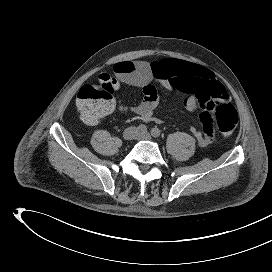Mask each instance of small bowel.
Wrapping results in <instances>:
<instances>
[{"label":"small bowel","instance_id":"c3829d8e","mask_svg":"<svg viewBox=\"0 0 272 272\" xmlns=\"http://www.w3.org/2000/svg\"><path fill=\"white\" fill-rule=\"evenodd\" d=\"M118 81L140 88L143 99L137 105L113 103L114 111L132 113L146 122H159L154 111L159 104V95L153 82H159L169 91L182 92L183 104L188 111L201 112V131L195 127L191 132L201 147H206L216 139V110L213 99H228L224 85L206 67L180 59H163L157 62L121 61L113 66ZM117 86V81H116Z\"/></svg>","mask_w":272,"mask_h":272}]
</instances>
